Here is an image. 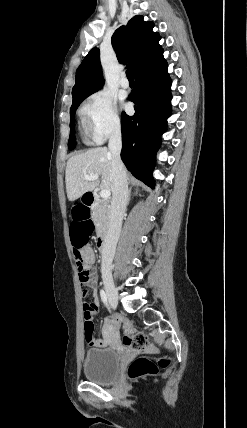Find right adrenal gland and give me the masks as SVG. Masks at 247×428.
Returning <instances> with one entry per match:
<instances>
[{
    "label": "right adrenal gland",
    "instance_id": "right-adrenal-gland-1",
    "mask_svg": "<svg viewBox=\"0 0 247 428\" xmlns=\"http://www.w3.org/2000/svg\"><path fill=\"white\" fill-rule=\"evenodd\" d=\"M131 191H132V187H130V189L128 191V202L130 201V198H131ZM137 194H138V189H136V195ZM139 196H141V195L139 194Z\"/></svg>",
    "mask_w": 247,
    "mask_h": 428
}]
</instances>
